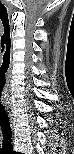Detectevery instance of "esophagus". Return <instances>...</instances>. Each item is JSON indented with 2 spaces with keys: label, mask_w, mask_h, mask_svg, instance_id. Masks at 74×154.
I'll return each mask as SVG.
<instances>
[{
  "label": "esophagus",
  "mask_w": 74,
  "mask_h": 154,
  "mask_svg": "<svg viewBox=\"0 0 74 154\" xmlns=\"http://www.w3.org/2000/svg\"><path fill=\"white\" fill-rule=\"evenodd\" d=\"M6 111H7L8 115H9V118H10V120H11V122H12V121H13V120H12V119H13V114H12L11 108H10V107H7V108H6Z\"/></svg>",
  "instance_id": "1"
}]
</instances>
